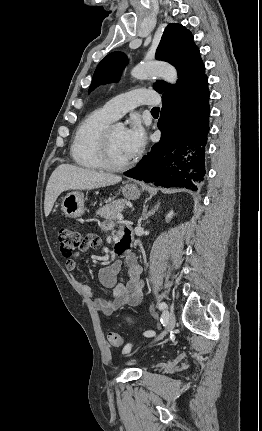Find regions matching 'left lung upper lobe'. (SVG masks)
<instances>
[{
    "label": "left lung upper lobe",
    "mask_w": 262,
    "mask_h": 431,
    "mask_svg": "<svg viewBox=\"0 0 262 431\" xmlns=\"http://www.w3.org/2000/svg\"><path fill=\"white\" fill-rule=\"evenodd\" d=\"M155 58L169 62L178 71L177 85L172 86L161 80L154 83V89L163 95L185 91L207 77L191 32L180 24H169L165 28ZM126 64L127 57L121 52L107 55L97 66L89 91L101 83L118 81Z\"/></svg>",
    "instance_id": "left-lung-upper-lobe-1"
}]
</instances>
